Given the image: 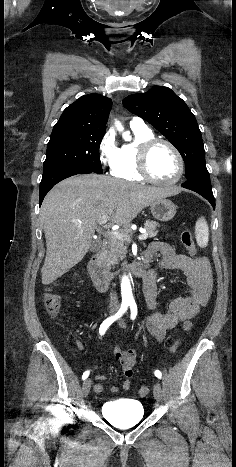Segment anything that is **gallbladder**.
<instances>
[{"label": "gallbladder", "mask_w": 236, "mask_h": 467, "mask_svg": "<svg viewBox=\"0 0 236 467\" xmlns=\"http://www.w3.org/2000/svg\"><path fill=\"white\" fill-rule=\"evenodd\" d=\"M99 248H100V241L98 239L93 240L91 245H90V250L92 252H96V251L99 250Z\"/></svg>", "instance_id": "bac80fb5"}]
</instances>
